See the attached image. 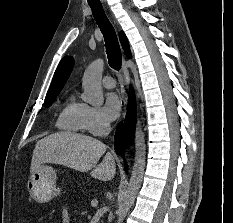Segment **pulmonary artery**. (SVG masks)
<instances>
[{"instance_id": "obj_1", "label": "pulmonary artery", "mask_w": 233, "mask_h": 223, "mask_svg": "<svg viewBox=\"0 0 233 223\" xmlns=\"http://www.w3.org/2000/svg\"><path fill=\"white\" fill-rule=\"evenodd\" d=\"M103 84L106 88H113L114 87V79L112 77L106 76L103 78Z\"/></svg>"}]
</instances>
